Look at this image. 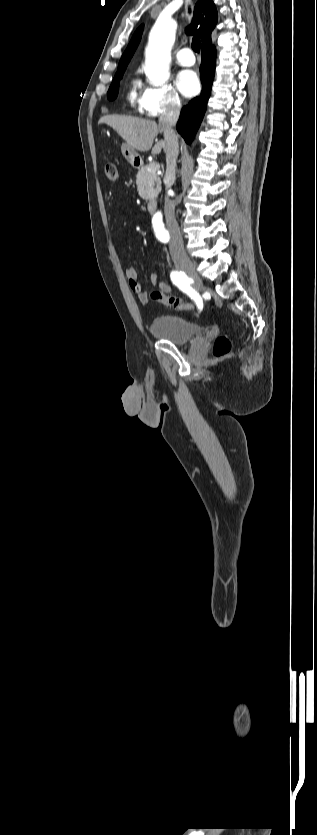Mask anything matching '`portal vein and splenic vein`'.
<instances>
[{
  "label": "portal vein and splenic vein",
  "instance_id": "1",
  "mask_svg": "<svg viewBox=\"0 0 317 835\" xmlns=\"http://www.w3.org/2000/svg\"><path fill=\"white\" fill-rule=\"evenodd\" d=\"M160 169V165L158 163H151L148 167V171H158Z\"/></svg>",
  "mask_w": 317,
  "mask_h": 835
}]
</instances>
